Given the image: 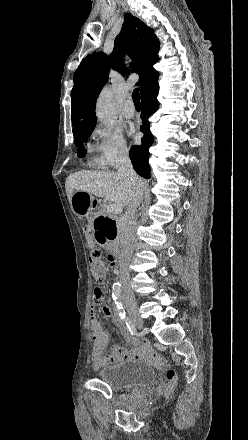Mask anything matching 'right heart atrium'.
Instances as JSON below:
<instances>
[{"label": "right heart atrium", "mask_w": 248, "mask_h": 440, "mask_svg": "<svg viewBox=\"0 0 248 440\" xmlns=\"http://www.w3.org/2000/svg\"><path fill=\"white\" fill-rule=\"evenodd\" d=\"M93 164L108 169L117 166L129 155V148L121 132L98 126L93 130Z\"/></svg>", "instance_id": "d8ad5b80"}]
</instances>
